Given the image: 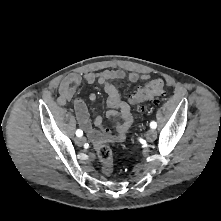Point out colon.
<instances>
[{
  "label": "colon",
  "instance_id": "5ec220e1",
  "mask_svg": "<svg viewBox=\"0 0 221 221\" xmlns=\"http://www.w3.org/2000/svg\"><path fill=\"white\" fill-rule=\"evenodd\" d=\"M164 82L161 79L151 81L146 86L140 87L131 97L130 102L133 105H138L144 101L153 100L162 94ZM98 158L102 164V171L109 175L113 171V152L106 146L101 145L97 151Z\"/></svg>",
  "mask_w": 221,
  "mask_h": 221
}]
</instances>
